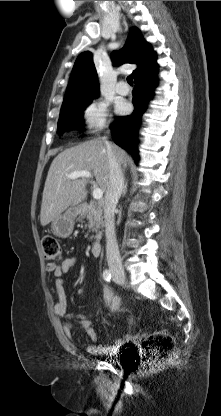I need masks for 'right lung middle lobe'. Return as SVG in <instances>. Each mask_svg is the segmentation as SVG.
Here are the masks:
<instances>
[{"mask_svg": "<svg viewBox=\"0 0 221 416\" xmlns=\"http://www.w3.org/2000/svg\"><path fill=\"white\" fill-rule=\"evenodd\" d=\"M92 100L93 96L63 102L57 130L60 135L71 129L83 130V111Z\"/></svg>", "mask_w": 221, "mask_h": 416, "instance_id": "dd1d6c3e", "label": "right lung middle lobe"}]
</instances>
